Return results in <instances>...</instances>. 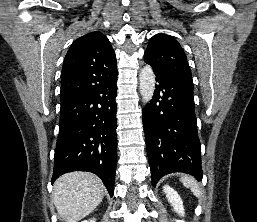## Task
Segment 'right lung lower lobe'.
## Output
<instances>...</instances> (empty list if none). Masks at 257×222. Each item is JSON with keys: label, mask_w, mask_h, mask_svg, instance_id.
Listing matches in <instances>:
<instances>
[{"label": "right lung lower lobe", "mask_w": 257, "mask_h": 222, "mask_svg": "<svg viewBox=\"0 0 257 222\" xmlns=\"http://www.w3.org/2000/svg\"><path fill=\"white\" fill-rule=\"evenodd\" d=\"M117 71L90 92L62 104L52 183L71 171L98 175L110 196L117 163Z\"/></svg>", "instance_id": "obj_1"}]
</instances>
